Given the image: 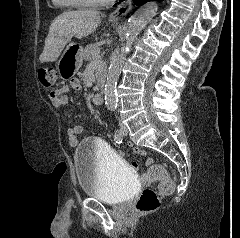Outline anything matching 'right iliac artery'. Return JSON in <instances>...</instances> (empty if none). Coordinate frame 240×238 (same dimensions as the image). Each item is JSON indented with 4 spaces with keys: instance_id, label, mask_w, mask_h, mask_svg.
<instances>
[{
    "instance_id": "1",
    "label": "right iliac artery",
    "mask_w": 240,
    "mask_h": 238,
    "mask_svg": "<svg viewBox=\"0 0 240 238\" xmlns=\"http://www.w3.org/2000/svg\"><path fill=\"white\" fill-rule=\"evenodd\" d=\"M123 133L121 130H116L115 131V134H114V140L117 144H120L122 143V140H123Z\"/></svg>"
}]
</instances>
